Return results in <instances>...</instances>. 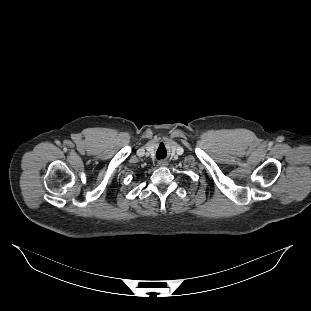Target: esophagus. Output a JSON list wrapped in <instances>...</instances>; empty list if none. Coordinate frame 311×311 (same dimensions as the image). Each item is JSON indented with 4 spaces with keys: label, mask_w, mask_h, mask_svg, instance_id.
I'll return each instance as SVG.
<instances>
[{
    "label": "esophagus",
    "mask_w": 311,
    "mask_h": 311,
    "mask_svg": "<svg viewBox=\"0 0 311 311\" xmlns=\"http://www.w3.org/2000/svg\"><path fill=\"white\" fill-rule=\"evenodd\" d=\"M159 166L160 167H167L168 166V161H166V160H161V161H159Z\"/></svg>",
    "instance_id": "esophagus-1"
}]
</instances>
